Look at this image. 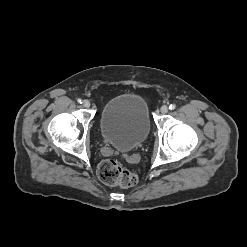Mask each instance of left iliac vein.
Here are the masks:
<instances>
[{"instance_id": "left-iliac-vein-1", "label": "left iliac vein", "mask_w": 247, "mask_h": 247, "mask_svg": "<svg viewBox=\"0 0 247 247\" xmlns=\"http://www.w3.org/2000/svg\"><path fill=\"white\" fill-rule=\"evenodd\" d=\"M162 114H166L168 112V106L167 105H163L160 109Z\"/></svg>"}]
</instances>
